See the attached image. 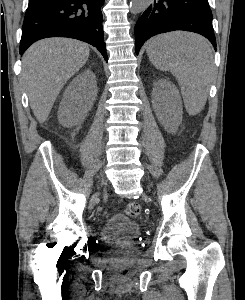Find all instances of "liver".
Here are the masks:
<instances>
[{"label":"liver","instance_id":"1","mask_svg":"<svg viewBox=\"0 0 245 300\" xmlns=\"http://www.w3.org/2000/svg\"><path fill=\"white\" fill-rule=\"evenodd\" d=\"M89 53L87 44L67 38L40 40L25 52L21 78L40 123L46 121L61 89L85 65Z\"/></svg>","mask_w":245,"mask_h":300}]
</instances>
